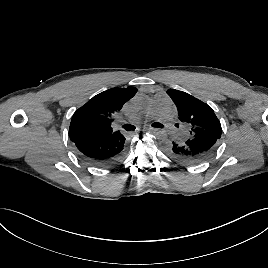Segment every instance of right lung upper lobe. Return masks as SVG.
I'll list each match as a JSON object with an SVG mask.
<instances>
[{
	"instance_id": "cb5924a9",
	"label": "right lung upper lobe",
	"mask_w": 268,
	"mask_h": 268,
	"mask_svg": "<svg viewBox=\"0 0 268 268\" xmlns=\"http://www.w3.org/2000/svg\"><path fill=\"white\" fill-rule=\"evenodd\" d=\"M136 92L135 87L111 88L91 98L73 114L69 127L72 142L119 134V131L112 130V117Z\"/></svg>"
}]
</instances>
